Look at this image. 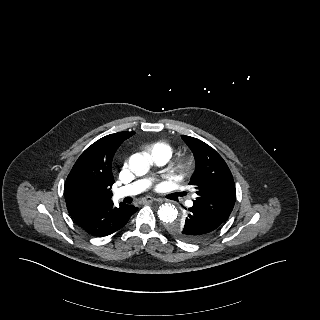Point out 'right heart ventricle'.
<instances>
[{
  "mask_svg": "<svg viewBox=\"0 0 320 320\" xmlns=\"http://www.w3.org/2000/svg\"><path fill=\"white\" fill-rule=\"evenodd\" d=\"M146 151L150 156L160 153H164L170 156L172 154V147L165 141H157L148 144L146 146Z\"/></svg>",
  "mask_w": 320,
  "mask_h": 320,
  "instance_id": "right-heart-ventricle-1",
  "label": "right heart ventricle"
}]
</instances>
